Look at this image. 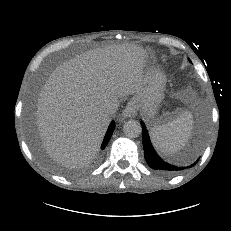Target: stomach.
Masks as SVG:
<instances>
[{"label":"stomach","mask_w":231,"mask_h":231,"mask_svg":"<svg viewBox=\"0 0 231 231\" xmlns=\"http://www.w3.org/2000/svg\"><path fill=\"white\" fill-rule=\"evenodd\" d=\"M165 83L166 76L163 71L147 64L142 85L131 99V103L135 105L150 125L156 124L158 107L164 98Z\"/></svg>","instance_id":"1"}]
</instances>
